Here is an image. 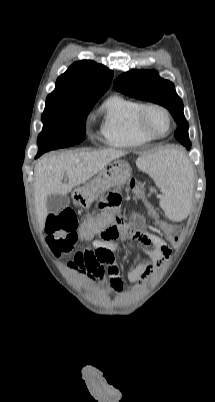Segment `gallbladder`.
Returning <instances> with one entry per match:
<instances>
[{"label":"gallbladder","instance_id":"gallbladder-1","mask_svg":"<svg viewBox=\"0 0 215 402\" xmlns=\"http://www.w3.org/2000/svg\"><path fill=\"white\" fill-rule=\"evenodd\" d=\"M69 198L66 195L51 194L47 197V210L49 213H59L69 206Z\"/></svg>","mask_w":215,"mask_h":402}]
</instances>
